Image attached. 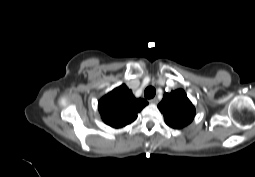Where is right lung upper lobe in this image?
Masks as SVG:
<instances>
[{"instance_id": "cb5924a9", "label": "right lung upper lobe", "mask_w": 255, "mask_h": 177, "mask_svg": "<svg viewBox=\"0 0 255 177\" xmlns=\"http://www.w3.org/2000/svg\"><path fill=\"white\" fill-rule=\"evenodd\" d=\"M148 102L141 98H135L132 91L123 84L98 102V109L102 120L113 128H121L132 123Z\"/></svg>"}]
</instances>
